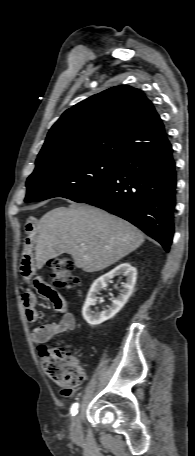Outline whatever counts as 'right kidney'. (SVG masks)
<instances>
[{
  "instance_id": "ca27d5eb",
  "label": "right kidney",
  "mask_w": 195,
  "mask_h": 456,
  "mask_svg": "<svg viewBox=\"0 0 195 456\" xmlns=\"http://www.w3.org/2000/svg\"><path fill=\"white\" fill-rule=\"evenodd\" d=\"M124 275L126 277L125 283H123V289L120 290L119 296L112 300V304L108 310L102 312L94 313L91 310L98 297L99 291L107 286L112 278L115 276ZM137 270L135 267H132L130 263H122L112 269L110 272L102 275L96 279L86 298L82 309V315L85 321L91 326H97L101 323L113 318L126 304L129 297L133 293V289L136 283Z\"/></svg>"
}]
</instances>
